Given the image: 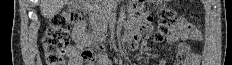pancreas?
I'll list each match as a JSON object with an SVG mask.
<instances>
[{
    "mask_svg": "<svg viewBox=\"0 0 232 65\" xmlns=\"http://www.w3.org/2000/svg\"><path fill=\"white\" fill-rule=\"evenodd\" d=\"M110 12H111L110 9H109V10H104V11H103V16H104L103 22H104V24H102V23H95L94 26H95L97 29H104V28H105L104 25H105V22H106V19H107V13H110Z\"/></svg>",
    "mask_w": 232,
    "mask_h": 65,
    "instance_id": "1",
    "label": "pancreas"
}]
</instances>
